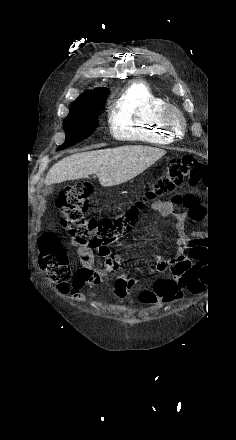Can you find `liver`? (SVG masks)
Masks as SVG:
<instances>
[{"instance_id":"liver-1","label":"liver","mask_w":236,"mask_h":440,"mask_svg":"<svg viewBox=\"0 0 236 440\" xmlns=\"http://www.w3.org/2000/svg\"><path fill=\"white\" fill-rule=\"evenodd\" d=\"M165 154L163 149L141 145L75 153L53 165L44 182L51 185L96 174L103 187H111L138 176Z\"/></svg>"}]
</instances>
